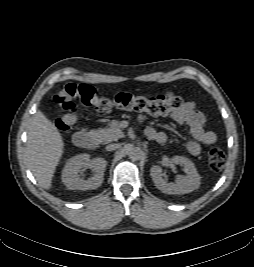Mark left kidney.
Here are the masks:
<instances>
[{
	"label": "left kidney",
	"mask_w": 254,
	"mask_h": 267,
	"mask_svg": "<svg viewBox=\"0 0 254 267\" xmlns=\"http://www.w3.org/2000/svg\"><path fill=\"white\" fill-rule=\"evenodd\" d=\"M171 161L174 164L183 166L186 175H179L175 183H167L163 179L162 168L158 165H153L150 169V175L156 188L167 194H186L198 189L200 175L194 163L183 156H173Z\"/></svg>",
	"instance_id": "1"
}]
</instances>
